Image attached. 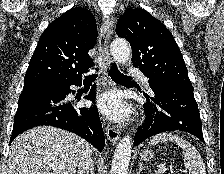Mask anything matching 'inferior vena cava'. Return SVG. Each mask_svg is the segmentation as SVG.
I'll return each instance as SVG.
<instances>
[{
  "instance_id": "obj_1",
  "label": "inferior vena cava",
  "mask_w": 224,
  "mask_h": 174,
  "mask_svg": "<svg viewBox=\"0 0 224 174\" xmlns=\"http://www.w3.org/2000/svg\"><path fill=\"white\" fill-rule=\"evenodd\" d=\"M94 162L91 158V150L87 148L81 155L78 162V174H95L94 173Z\"/></svg>"
}]
</instances>
